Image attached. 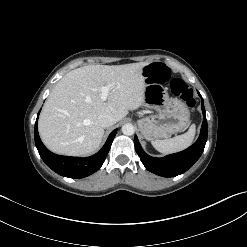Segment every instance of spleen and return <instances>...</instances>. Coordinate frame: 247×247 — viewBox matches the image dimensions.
Masks as SVG:
<instances>
[{
  "mask_svg": "<svg viewBox=\"0 0 247 247\" xmlns=\"http://www.w3.org/2000/svg\"><path fill=\"white\" fill-rule=\"evenodd\" d=\"M195 125H191L189 130L179 136H175L165 140H153L151 143L153 147L163 154H171L182 151L193 143L195 136Z\"/></svg>",
  "mask_w": 247,
  "mask_h": 247,
  "instance_id": "3e777b00",
  "label": "spleen"
}]
</instances>
